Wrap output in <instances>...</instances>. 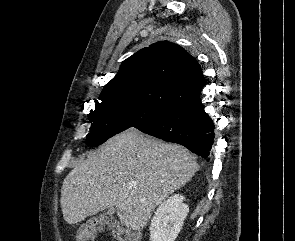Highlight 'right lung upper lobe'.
Segmentation results:
<instances>
[{
    "instance_id": "obj_1",
    "label": "right lung upper lobe",
    "mask_w": 295,
    "mask_h": 241,
    "mask_svg": "<svg viewBox=\"0 0 295 241\" xmlns=\"http://www.w3.org/2000/svg\"><path fill=\"white\" fill-rule=\"evenodd\" d=\"M203 86L198 62L181 46L160 41L123 61L101 97L122 98L165 111L200 97Z\"/></svg>"
}]
</instances>
